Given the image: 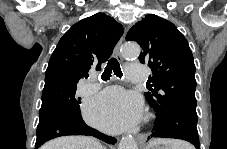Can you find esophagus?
<instances>
[{"mask_svg":"<svg viewBox=\"0 0 227 149\" xmlns=\"http://www.w3.org/2000/svg\"><path fill=\"white\" fill-rule=\"evenodd\" d=\"M121 46H122V38L119 40V42L116 44L114 48V57L117 60H121ZM136 141L138 142L139 145H144L145 142L147 141V138L144 135H139L136 138Z\"/></svg>","mask_w":227,"mask_h":149,"instance_id":"34e87169","label":"esophagus"}]
</instances>
